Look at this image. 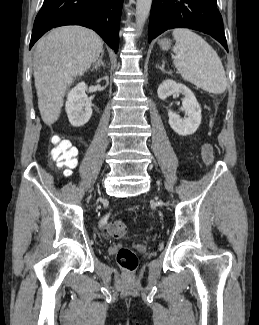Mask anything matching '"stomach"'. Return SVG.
<instances>
[{
	"label": "stomach",
	"instance_id": "1",
	"mask_svg": "<svg viewBox=\"0 0 259 325\" xmlns=\"http://www.w3.org/2000/svg\"><path fill=\"white\" fill-rule=\"evenodd\" d=\"M159 45L161 49L168 50L171 47V41L169 39L164 38L159 41Z\"/></svg>",
	"mask_w": 259,
	"mask_h": 325
}]
</instances>
